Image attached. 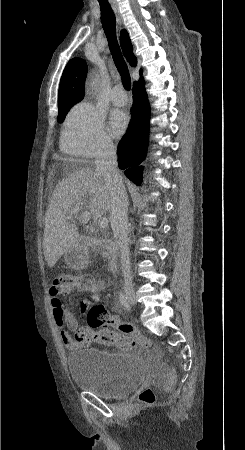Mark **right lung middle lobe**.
<instances>
[{
  "label": "right lung middle lobe",
  "instance_id": "right-lung-middle-lobe-1",
  "mask_svg": "<svg viewBox=\"0 0 245 450\" xmlns=\"http://www.w3.org/2000/svg\"><path fill=\"white\" fill-rule=\"evenodd\" d=\"M75 103H68L65 105H62L60 107H58L59 109V114H58V119L59 122H62L64 119L65 114L68 112V110L74 105Z\"/></svg>",
  "mask_w": 245,
  "mask_h": 450
}]
</instances>
